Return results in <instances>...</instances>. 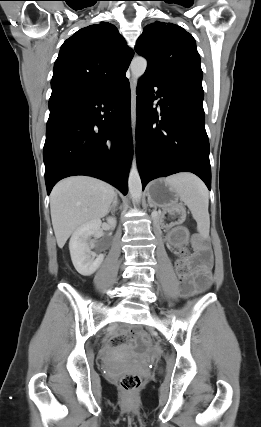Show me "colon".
Segmentation results:
<instances>
[{
  "mask_svg": "<svg viewBox=\"0 0 261 427\" xmlns=\"http://www.w3.org/2000/svg\"><path fill=\"white\" fill-rule=\"evenodd\" d=\"M180 254H184L185 251L183 249L178 251ZM178 267L181 271H184V264L179 262ZM138 339V341L143 344H148L147 337L140 331H135L134 333ZM142 384V378L138 374H126L120 379V387L124 393L128 395H132L136 393Z\"/></svg>",
  "mask_w": 261,
  "mask_h": 427,
  "instance_id": "1",
  "label": "colon"
}]
</instances>
